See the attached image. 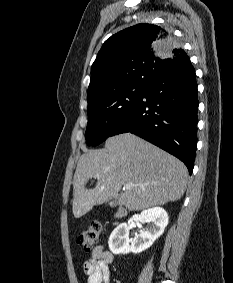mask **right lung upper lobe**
<instances>
[{
  "mask_svg": "<svg viewBox=\"0 0 233 283\" xmlns=\"http://www.w3.org/2000/svg\"><path fill=\"white\" fill-rule=\"evenodd\" d=\"M186 56L164 28L144 23L124 29L104 42L92 64L88 105L127 86H148Z\"/></svg>",
  "mask_w": 233,
  "mask_h": 283,
  "instance_id": "cb5924a9",
  "label": "right lung upper lobe"
}]
</instances>
